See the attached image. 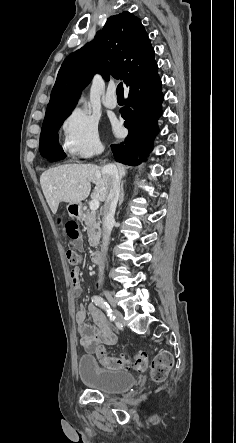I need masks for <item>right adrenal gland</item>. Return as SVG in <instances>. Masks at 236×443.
I'll use <instances>...</instances> for the list:
<instances>
[{
  "label": "right adrenal gland",
  "instance_id": "2a0ac1e0",
  "mask_svg": "<svg viewBox=\"0 0 236 443\" xmlns=\"http://www.w3.org/2000/svg\"><path fill=\"white\" fill-rule=\"evenodd\" d=\"M123 200H124V182L121 183V193H120V197H119L118 207L121 206V204L123 203Z\"/></svg>",
  "mask_w": 236,
  "mask_h": 443
}]
</instances>
